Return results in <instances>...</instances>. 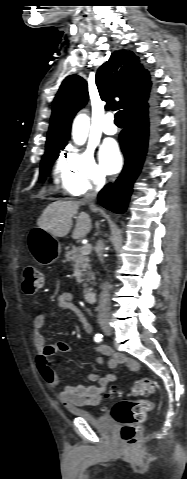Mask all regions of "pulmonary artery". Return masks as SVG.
Listing matches in <instances>:
<instances>
[{"instance_id":"obj_1","label":"pulmonary artery","mask_w":187,"mask_h":479,"mask_svg":"<svg viewBox=\"0 0 187 479\" xmlns=\"http://www.w3.org/2000/svg\"><path fill=\"white\" fill-rule=\"evenodd\" d=\"M113 116L111 114L107 115L103 125V132L106 135H115L117 133V128L113 121Z\"/></svg>"}]
</instances>
